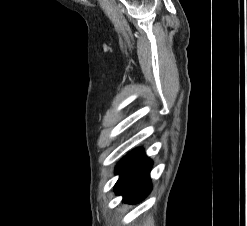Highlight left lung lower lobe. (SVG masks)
Returning a JSON list of instances; mask_svg holds the SVG:
<instances>
[{"label":"left lung lower lobe","mask_w":247,"mask_h":226,"mask_svg":"<svg viewBox=\"0 0 247 226\" xmlns=\"http://www.w3.org/2000/svg\"><path fill=\"white\" fill-rule=\"evenodd\" d=\"M152 162L146 157L144 151L139 148L130 152L116 167L120 175L115 191L123 195L126 203L142 201L151 191L149 172Z\"/></svg>","instance_id":"1"}]
</instances>
